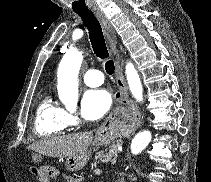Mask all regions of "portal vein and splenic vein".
Here are the masks:
<instances>
[{
	"label": "portal vein and splenic vein",
	"mask_w": 211,
	"mask_h": 182,
	"mask_svg": "<svg viewBox=\"0 0 211 182\" xmlns=\"http://www.w3.org/2000/svg\"><path fill=\"white\" fill-rule=\"evenodd\" d=\"M118 150H119V151H122V149H121V148H119ZM101 171H102L101 169H95V171H94V172H95L96 174H99V173H101Z\"/></svg>",
	"instance_id": "1"
}]
</instances>
